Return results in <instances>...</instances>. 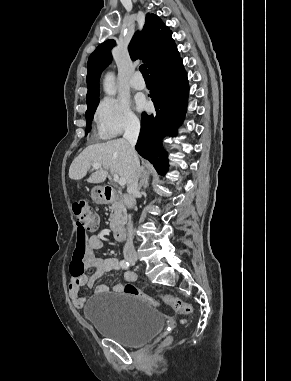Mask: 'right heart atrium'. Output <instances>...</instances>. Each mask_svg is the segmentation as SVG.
Masks as SVG:
<instances>
[{
	"label": "right heart atrium",
	"instance_id": "right-heart-atrium-1",
	"mask_svg": "<svg viewBox=\"0 0 291 381\" xmlns=\"http://www.w3.org/2000/svg\"><path fill=\"white\" fill-rule=\"evenodd\" d=\"M94 120L100 136L113 138L125 131L139 128L140 121L126 99L103 98L97 106Z\"/></svg>",
	"mask_w": 291,
	"mask_h": 381
}]
</instances>
